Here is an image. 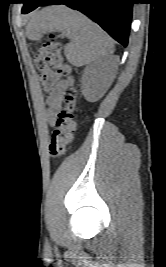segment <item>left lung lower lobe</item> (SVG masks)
Wrapping results in <instances>:
<instances>
[{"mask_svg":"<svg viewBox=\"0 0 166 267\" xmlns=\"http://www.w3.org/2000/svg\"><path fill=\"white\" fill-rule=\"evenodd\" d=\"M22 13L43 4H65L97 22L114 39L127 46L134 0H24Z\"/></svg>","mask_w":166,"mask_h":267,"instance_id":"left-lung-lower-lobe-1","label":"left lung lower lobe"}]
</instances>
